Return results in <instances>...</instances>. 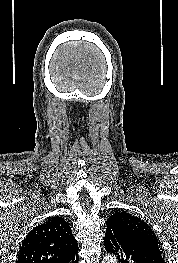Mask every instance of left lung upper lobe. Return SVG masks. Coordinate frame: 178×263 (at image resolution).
Returning a JSON list of instances; mask_svg holds the SVG:
<instances>
[{
    "label": "left lung upper lobe",
    "instance_id": "obj_1",
    "mask_svg": "<svg viewBox=\"0 0 178 263\" xmlns=\"http://www.w3.org/2000/svg\"><path fill=\"white\" fill-rule=\"evenodd\" d=\"M108 220H113L123 227L135 230L139 233H143L144 235L151 237L155 241H158L155 233L145 221L129 213L116 211L108 218Z\"/></svg>",
    "mask_w": 178,
    "mask_h": 263
}]
</instances>
